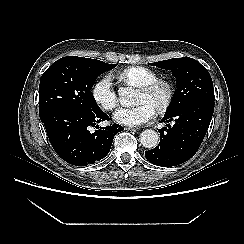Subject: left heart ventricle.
<instances>
[{"label":"left heart ventricle","mask_w":244,"mask_h":244,"mask_svg":"<svg viewBox=\"0 0 244 244\" xmlns=\"http://www.w3.org/2000/svg\"><path fill=\"white\" fill-rule=\"evenodd\" d=\"M162 98V93H158L155 96H148L143 92H139V96H138V103H149L150 105H152L154 108L156 106V104L161 100Z\"/></svg>","instance_id":"left-heart-ventricle-1"}]
</instances>
